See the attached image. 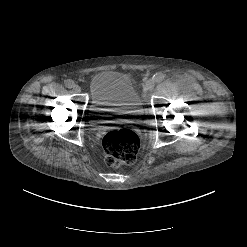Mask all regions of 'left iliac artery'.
I'll use <instances>...</instances> for the list:
<instances>
[{"instance_id":"44dca946","label":"left iliac artery","mask_w":247,"mask_h":247,"mask_svg":"<svg viewBox=\"0 0 247 247\" xmlns=\"http://www.w3.org/2000/svg\"><path fill=\"white\" fill-rule=\"evenodd\" d=\"M165 78V75L163 73H156L153 77H152V80L154 82H161L163 81Z\"/></svg>"}]
</instances>
